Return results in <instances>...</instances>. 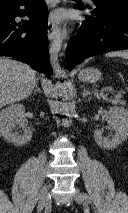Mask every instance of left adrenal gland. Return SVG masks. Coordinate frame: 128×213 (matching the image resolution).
<instances>
[{"instance_id":"left-adrenal-gland-1","label":"left adrenal gland","mask_w":128,"mask_h":213,"mask_svg":"<svg viewBox=\"0 0 128 213\" xmlns=\"http://www.w3.org/2000/svg\"><path fill=\"white\" fill-rule=\"evenodd\" d=\"M82 88H83V92H82L83 97H86L88 95H92V93L87 91V89L84 86H82Z\"/></svg>"}]
</instances>
